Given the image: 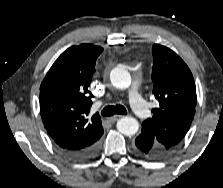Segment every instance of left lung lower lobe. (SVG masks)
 I'll use <instances>...</instances> for the list:
<instances>
[{
    "instance_id": "1",
    "label": "left lung lower lobe",
    "mask_w": 223,
    "mask_h": 188,
    "mask_svg": "<svg viewBox=\"0 0 223 188\" xmlns=\"http://www.w3.org/2000/svg\"><path fill=\"white\" fill-rule=\"evenodd\" d=\"M135 149L138 153L153 159H160L168 154L158 147L151 136L144 131L135 140Z\"/></svg>"
}]
</instances>
